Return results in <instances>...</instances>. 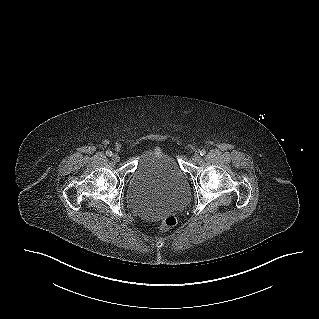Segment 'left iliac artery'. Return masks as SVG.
<instances>
[{
    "instance_id": "1",
    "label": "left iliac artery",
    "mask_w": 319,
    "mask_h": 319,
    "mask_svg": "<svg viewBox=\"0 0 319 319\" xmlns=\"http://www.w3.org/2000/svg\"><path fill=\"white\" fill-rule=\"evenodd\" d=\"M200 155H201V156L206 155V150H205V149H202V150L200 151Z\"/></svg>"
}]
</instances>
